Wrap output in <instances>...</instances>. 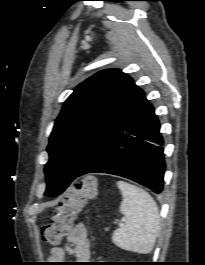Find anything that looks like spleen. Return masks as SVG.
Wrapping results in <instances>:
<instances>
[{
    "label": "spleen",
    "mask_w": 205,
    "mask_h": 265,
    "mask_svg": "<svg viewBox=\"0 0 205 265\" xmlns=\"http://www.w3.org/2000/svg\"><path fill=\"white\" fill-rule=\"evenodd\" d=\"M123 199L120 212L125 216V224L116 229L113 243L121 249L148 254L153 250L160 230V216L156 202L142 188L118 181Z\"/></svg>",
    "instance_id": "3e777b00"
}]
</instances>
